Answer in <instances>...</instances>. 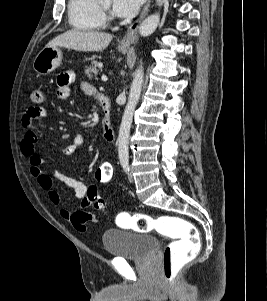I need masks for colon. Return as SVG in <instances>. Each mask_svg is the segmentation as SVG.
<instances>
[{"label":"colon","instance_id":"obj_1","mask_svg":"<svg viewBox=\"0 0 267 301\" xmlns=\"http://www.w3.org/2000/svg\"><path fill=\"white\" fill-rule=\"evenodd\" d=\"M30 99L35 104L42 103L43 92L32 88ZM113 177V167L109 162L101 163L94 173V184L86 190V200L96 210H103L105 202L100 198L97 184H108ZM118 224L140 233L157 232L172 241L162 253L163 279L170 283L179 270L194 259L200 248V239L196 227L189 221L176 216L153 217L144 213H120Z\"/></svg>","mask_w":267,"mask_h":301}]
</instances>
